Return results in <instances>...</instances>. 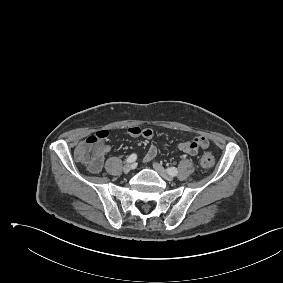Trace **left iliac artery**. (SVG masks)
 <instances>
[{
  "mask_svg": "<svg viewBox=\"0 0 283 283\" xmlns=\"http://www.w3.org/2000/svg\"><path fill=\"white\" fill-rule=\"evenodd\" d=\"M167 171H168V173H169L170 175H172V176H176V175L178 174V170H177V168H175V167H169V168L167 169Z\"/></svg>",
  "mask_w": 283,
  "mask_h": 283,
  "instance_id": "obj_1",
  "label": "left iliac artery"
}]
</instances>
